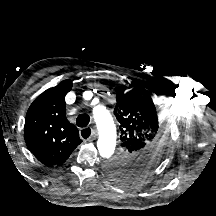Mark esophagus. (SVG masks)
I'll use <instances>...</instances> for the list:
<instances>
[{"label":"esophagus","instance_id":"1","mask_svg":"<svg viewBox=\"0 0 216 216\" xmlns=\"http://www.w3.org/2000/svg\"><path fill=\"white\" fill-rule=\"evenodd\" d=\"M90 132V136L87 138V140L94 139L97 136V132L93 128H82L80 129V136L83 138L82 134H87Z\"/></svg>","mask_w":216,"mask_h":216}]
</instances>
